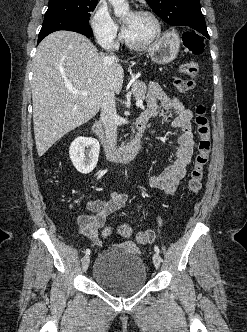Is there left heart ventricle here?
<instances>
[{
	"label": "left heart ventricle",
	"mask_w": 247,
	"mask_h": 332,
	"mask_svg": "<svg viewBox=\"0 0 247 332\" xmlns=\"http://www.w3.org/2000/svg\"><path fill=\"white\" fill-rule=\"evenodd\" d=\"M126 18L130 19L128 25L125 26V33L130 40L141 42L154 32V23L149 17L128 12L124 15V19Z\"/></svg>",
	"instance_id": "obj_1"
}]
</instances>
